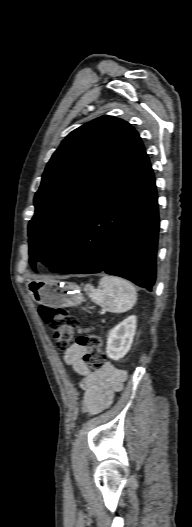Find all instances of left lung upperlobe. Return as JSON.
I'll use <instances>...</instances> for the list:
<instances>
[{
  "instance_id": "1",
  "label": "left lung upper lobe",
  "mask_w": 192,
  "mask_h": 527,
  "mask_svg": "<svg viewBox=\"0 0 192 527\" xmlns=\"http://www.w3.org/2000/svg\"><path fill=\"white\" fill-rule=\"evenodd\" d=\"M137 131L102 116L72 131L48 162L29 222L30 264L52 267L66 252L93 210L144 153Z\"/></svg>"
}]
</instances>
